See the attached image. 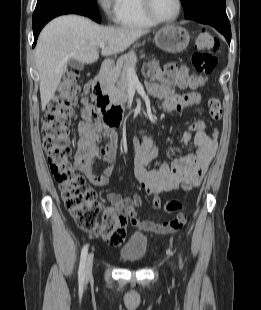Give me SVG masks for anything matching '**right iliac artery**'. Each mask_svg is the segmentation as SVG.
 Instances as JSON below:
<instances>
[{
	"mask_svg": "<svg viewBox=\"0 0 261 310\" xmlns=\"http://www.w3.org/2000/svg\"><path fill=\"white\" fill-rule=\"evenodd\" d=\"M88 254V245H85L81 251L80 265L78 270L79 285L83 286L85 280V263Z\"/></svg>",
	"mask_w": 261,
	"mask_h": 310,
	"instance_id": "obj_1",
	"label": "right iliac artery"
}]
</instances>
